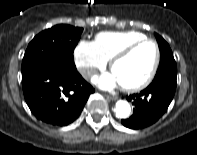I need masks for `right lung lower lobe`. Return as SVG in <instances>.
Masks as SVG:
<instances>
[{
    "mask_svg": "<svg viewBox=\"0 0 197 155\" xmlns=\"http://www.w3.org/2000/svg\"><path fill=\"white\" fill-rule=\"evenodd\" d=\"M22 88L31 112L45 123L65 126L81 113L93 87L77 72L74 63L44 65L22 78Z\"/></svg>",
    "mask_w": 197,
    "mask_h": 155,
    "instance_id": "1",
    "label": "right lung lower lobe"
}]
</instances>
